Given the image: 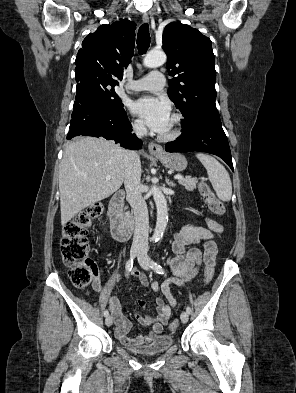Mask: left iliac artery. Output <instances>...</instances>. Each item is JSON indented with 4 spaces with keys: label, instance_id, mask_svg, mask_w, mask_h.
<instances>
[{
    "label": "left iliac artery",
    "instance_id": "1",
    "mask_svg": "<svg viewBox=\"0 0 296 393\" xmlns=\"http://www.w3.org/2000/svg\"><path fill=\"white\" fill-rule=\"evenodd\" d=\"M151 268L158 274H164V269L162 266L155 261H151ZM186 312L191 314L192 310L189 306L186 308Z\"/></svg>",
    "mask_w": 296,
    "mask_h": 393
}]
</instances>
